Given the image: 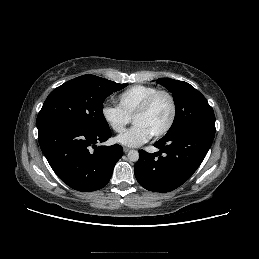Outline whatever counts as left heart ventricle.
<instances>
[{"label": "left heart ventricle", "instance_id": "1", "mask_svg": "<svg viewBox=\"0 0 259 259\" xmlns=\"http://www.w3.org/2000/svg\"><path fill=\"white\" fill-rule=\"evenodd\" d=\"M171 116V103L168 97L159 96L150 110L133 120L134 125L145 127L152 135L163 129Z\"/></svg>", "mask_w": 259, "mask_h": 259}]
</instances>
